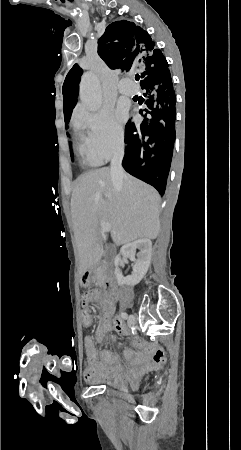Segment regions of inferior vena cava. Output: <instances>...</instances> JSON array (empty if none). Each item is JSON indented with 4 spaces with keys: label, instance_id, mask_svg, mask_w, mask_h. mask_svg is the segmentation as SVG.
<instances>
[{
    "label": "inferior vena cava",
    "instance_id": "inferior-vena-cava-1",
    "mask_svg": "<svg viewBox=\"0 0 241 450\" xmlns=\"http://www.w3.org/2000/svg\"><path fill=\"white\" fill-rule=\"evenodd\" d=\"M123 158L124 148H121V150L113 156L110 164V176L116 190H120V188H122L123 178L125 176V172L121 166Z\"/></svg>",
    "mask_w": 241,
    "mask_h": 450
}]
</instances>
